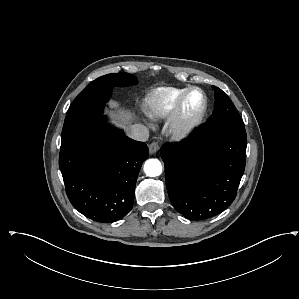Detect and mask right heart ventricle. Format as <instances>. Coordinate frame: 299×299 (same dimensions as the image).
Here are the masks:
<instances>
[{
  "label": "right heart ventricle",
  "instance_id": "1",
  "mask_svg": "<svg viewBox=\"0 0 299 299\" xmlns=\"http://www.w3.org/2000/svg\"><path fill=\"white\" fill-rule=\"evenodd\" d=\"M186 88L161 87L153 90L144 100V112L153 120L168 116Z\"/></svg>",
  "mask_w": 299,
  "mask_h": 299
}]
</instances>
